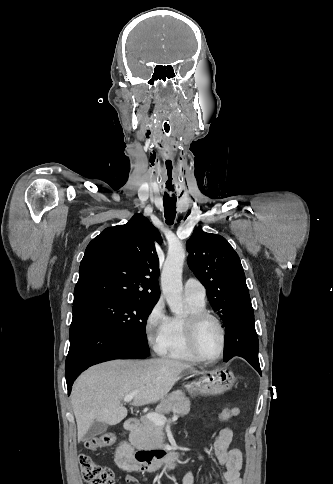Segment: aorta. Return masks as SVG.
<instances>
[{
  "label": "aorta",
  "mask_w": 333,
  "mask_h": 484,
  "mask_svg": "<svg viewBox=\"0 0 333 484\" xmlns=\"http://www.w3.org/2000/svg\"><path fill=\"white\" fill-rule=\"evenodd\" d=\"M185 250L181 244L168 251L161 274V288L170 310L178 314L182 311V268Z\"/></svg>",
  "instance_id": "aorta-1"
}]
</instances>
